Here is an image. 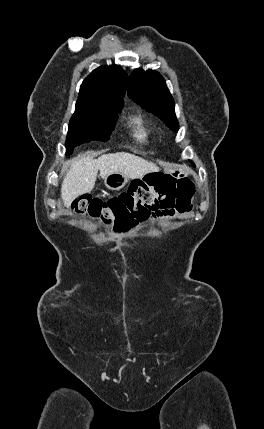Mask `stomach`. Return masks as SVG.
Segmentation results:
<instances>
[{
	"mask_svg": "<svg viewBox=\"0 0 264 429\" xmlns=\"http://www.w3.org/2000/svg\"><path fill=\"white\" fill-rule=\"evenodd\" d=\"M189 170L182 166H177L172 169H170L166 175H169L175 179H180L183 177H186L189 175ZM159 176V173L157 172H150L145 175H143L141 178L145 180H151ZM129 182V179L125 176H123L120 172H113L108 174L104 178V184L105 186L114 191L121 190L127 183Z\"/></svg>",
	"mask_w": 264,
	"mask_h": 429,
	"instance_id": "0dacf381",
	"label": "stomach"
}]
</instances>
